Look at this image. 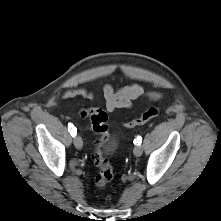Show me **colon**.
<instances>
[{"label": "colon", "instance_id": "colon-1", "mask_svg": "<svg viewBox=\"0 0 221 221\" xmlns=\"http://www.w3.org/2000/svg\"><path fill=\"white\" fill-rule=\"evenodd\" d=\"M160 113L158 107H150L144 111L139 117L125 123L126 128H132L140 124H144L149 120L156 118ZM82 117H89L92 129L96 134L94 142V150L92 153V160L99 168L98 173L94 178V183L97 188H104L113 179V168L107 158L102 153V145L108 140L109 127L108 115L100 108L83 109L81 111Z\"/></svg>", "mask_w": 221, "mask_h": 221}]
</instances>
